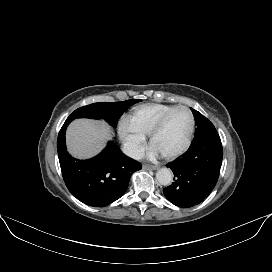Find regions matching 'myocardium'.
Listing matches in <instances>:
<instances>
[{"label": "myocardium", "mask_w": 272, "mask_h": 272, "mask_svg": "<svg viewBox=\"0 0 272 272\" xmlns=\"http://www.w3.org/2000/svg\"><path fill=\"white\" fill-rule=\"evenodd\" d=\"M177 110H184L188 113L189 118H190L189 132H188L186 140L178 149H176L172 152L166 153V154H161L162 157H164L166 159H172V158H175V157L181 155L182 153H184L188 149V147L190 146L193 136H194V132H195V117H194L192 111L187 106H183V105L175 106L172 109H170L169 111H167L166 113H164L158 119V121L156 122V124L154 125L152 130L150 131V133H149L150 144L152 145L154 137L162 130V128L164 127L169 116Z\"/></svg>", "instance_id": "obj_1"}]
</instances>
